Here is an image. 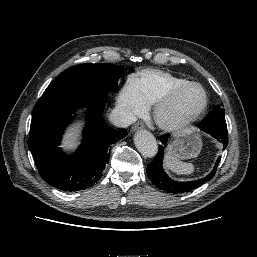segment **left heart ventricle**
<instances>
[{
	"mask_svg": "<svg viewBox=\"0 0 257 257\" xmlns=\"http://www.w3.org/2000/svg\"><path fill=\"white\" fill-rule=\"evenodd\" d=\"M202 102V91L198 87L188 88L166 109V115L171 119L186 118L196 112Z\"/></svg>",
	"mask_w": 257,
	"mask_h": 257,
	"instance_id": "obj_1",
	"label": "left heart ventricle"
}]
</instances>
